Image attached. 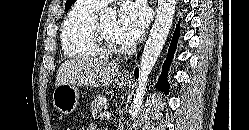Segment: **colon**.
Returning a JSON list of instances; mask_svg holds the SVG:
<instances>
[{"instance_id":"1","label":"colon","mask_w":249,"mask_h":130,"mask_svg":"<svg viewBox=\"0 0 249 130\" xmlns=\"http://www.w3.org/2000/svg\"><path fill=\"white\" fill-rule=\"evenodd\" d=\"M62 130H74V128L68 125L65 126Z\"/></svg>"}]
</instances>
